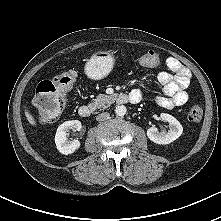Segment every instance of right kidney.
<instances>
[{"label": "right kidney", "instance_id": "ca27d5eb", "mask_svg": "<svg viewBox=\"0 0 221 221\" xmlns=\"http://www.w3.org/2000/svg\"><path fill=\"white\" fill-rule=\"evenodd\" d=\"M81 122L78 120L66 121L57 128L55 135V144L61 154L68 155L74 153L79 147L80 142L76 139L68 140L67 132L69 129L81 130Z\"/></svg>", "mask_w": 221, "mask_h": 221}]
</instances>
